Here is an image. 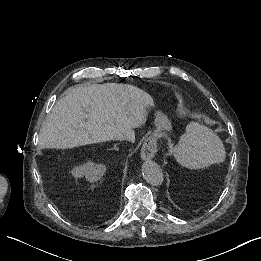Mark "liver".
Here are the masks:
<instances>
[{"label": "liver", "mask_w": 261, "mask_h": 261, "mask_svg": "<svg viewBox=\"0 0 261 261\" xmlns=\"http://www.w3.org/2000/svg\"><path fill=\"white\" fill-rule=\"evenodd\" d=\"M151 96L130 84L104 83L71 87L43 123L39 143L46 148L127 140L146 122Z\"/></svg>", "instance_id": "6515ba94"}]
</instances>
